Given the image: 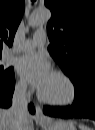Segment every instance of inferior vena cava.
Here are the masks:
<instances>
[{"label": "inferior vena cava", "mask_w": 95, "mask_h": 130, "mask_svg": "<svg viewBox=\"0 0 95 130\" xmlns=\"http://www.w3.org/2000/svg\"><path fill=\"white\" fill-rule=\"evenodd\" d=\"M9 112L15 120L16 127H18L16 129H21L19 128L21 122L28 115L27 87L25 85L15 88Z\"/></svg>", "instance_id": "obj_1"}]
</instances>
